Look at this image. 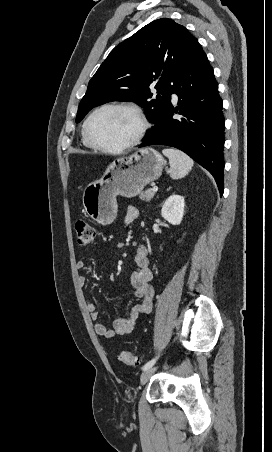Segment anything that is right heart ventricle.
<instances>
[{
    "mask_svg": "<svg viewBox=\"0 0 272 452\" xmlns=\"http://www.w3.org/2000/svg\"><path fill=\"white\" fill-rule=\"evenodd\" d=\"M81 141L84 147L89 148V149H93V147L86 141L84 135H83V131H82V135H81Z\"/></svg>",
    "mask_w": 272,
    "mask_h": 452,
    "instance_id": "obj_1",
    "label": "right heart ventricle"
}]
</instances>
